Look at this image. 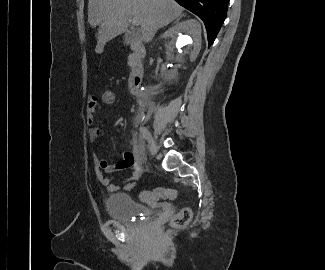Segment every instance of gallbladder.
I'll list each match as a JSON object with an SVG mask.
<instances>
[{"instance_id": "gallbladder-1", "label": "gallbladder", "mask_w": 325, "mask_h": 270, "mask_svg": "<svg viewBox=\"0 0 325 270\" xmlns=\"http://www.w3.org/2000/svg\"><path fill=\"white\" fill-rule=\"evenodd\" d=\"M125 39H124V43L125 44H129L130 42H132V41H137V40H139V35L136 33V32H134V31H131V32H127L126 34H125V37H124Z\"/></svg>"}]
</instances>
